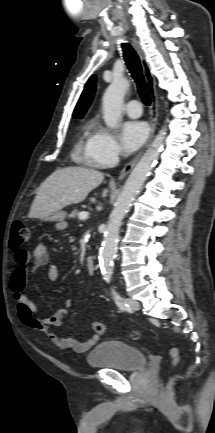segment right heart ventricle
Listing matches in <instances>:
<instances>
[{"label": "right heart ventricle", "mask_w": 215, "mask_h": 433, "mask_svg": "<svg viewBox=\"0 0 215 433\" xmlns=\"http://www.w3.org/2000/svg\"><path fill=\"white\" fill-rule=\"evenodd\" d=\"M96 129L93 124H88L74 150V158L77 161L90 166H100L93 157Z\"/></svg>", "instance_id": "obj_1"}]
</instances>
